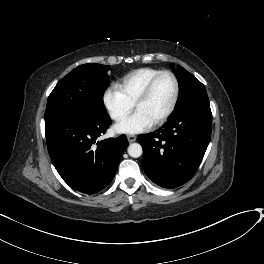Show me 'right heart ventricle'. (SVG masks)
I'll use <instances>...</instances> for the list:
<instances>
[{
  "mask_svg": "<svg viewBox=\"0 0 264 264\" xmlns=\"http://www.w3.org/2000/svg\"><path fill=\"white\" fill-rule=\"evenodd\" d=\"M159 72H161V70L155 68H140L133 70L121 79L118 87L134 104L148 81Z\"/></svg>",
  "mask_w": 264,
  "mask_h": 264,
  "instance_id": "right-heart-ventricle-1",
  "label": "right heart ventricle"
}]
</instances>
